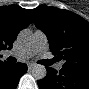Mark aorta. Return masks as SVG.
Instances as JSON below:
<instances>
[{
    "label": "aorta",
    "mask_w": 89,
    "mask_h": 89,
    "mask_svg": "<svg viewBox=\"0 0 89 89\" xmlns=\"http://www.w3.org/2000/svg\"><path fill=\"white\" fill-rule=\"evenodd\" d=\"M19 41L23 46L30 48L31 46L34 45L35 38L31 31L25 30L19 34ZM32 75L37 80L44 78L46 76L45 67L42 65H39L33 70Z\"/></svg>",
    "instance_id": "obj_1"
}]
</instances>
